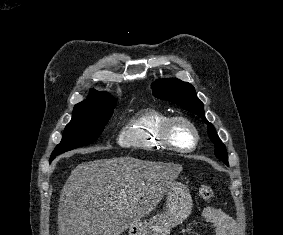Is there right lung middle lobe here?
Here are the masks:
<instances>
[{
  "instance_id": "obj_1",
  "label": "right lung middle lobe",
  "mask_w": 283,
  "mask_h": 235,
  "mask_svg": "<svg viewBox=\"0 0 283 235\" xmlns=\"http://www.w3.org/2000/svg\"><path fill=\"white\" fill-rule=\"evenodd\" d=\"M114 108L115 103L75 106L72 119L65 127L61 142L52 152L50 162L61 153L94 142L112 116Z\"/></svg>"
}]
</instances>
